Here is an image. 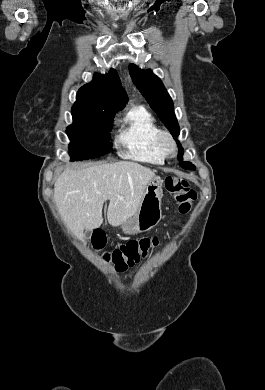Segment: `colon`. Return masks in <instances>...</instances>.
Instances as JSON below:
<instances>
[{
    "label": "colon",
    "mask_w": 265,
    "mask_h": 390,
    "mask_svg": "<svg viewBox=\"0 0 265 390\" xmlns=\"http://www.w3.org/2000/svg\"><path fill=\"white\" fill-rule=\"evenodd\" d=\"M167 191L174 195L179 203V211L182 214L188 213L196 199V192L190 183L182 178L168 177L165 181ZM159 244L156 237H144L138 240H131L124 245L106 252L103 255L104 261L112 264L116 271L122 272L137 265L144 259L149 251ZM92 245L95 249H102L105 245V236L102 232H95L92 236Z\"/></svg>",
    "instance_id": "1"
}]
</instances>
